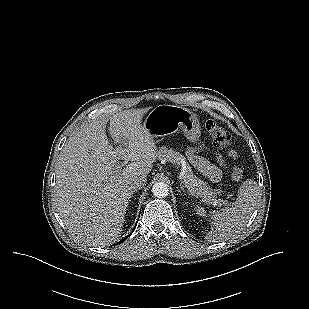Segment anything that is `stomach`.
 Listing matches in <instances>:
<instances>
[{"mask_svg": "<svg viewBox=\"0 0 309 309\" xmlns=\"http://www.w3.org/2000/svg\"><path fill=\"white\" fill-rule=\"evenodd\" d=\"M144 129L153 138H163L182 130L184 136L197 143L200 138V123L196 115L187 108L175 105H159L147 115Z\"/></svg>", "mask_w": 309, "mask_h": 309, "instance_id": "0dacf381", "label": "stomach"}]
</instances>
